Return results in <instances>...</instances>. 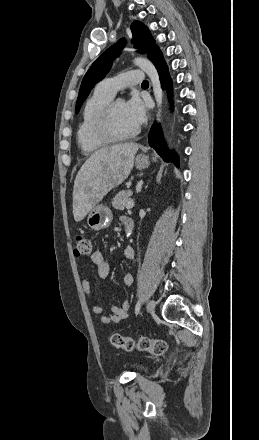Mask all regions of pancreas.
Here are the masks:
<instances>
[{
    "instance_id": "obj_1",
    "label": "pancreas",
    "mask_w": 259,
    "mask_h": 440,
    "mask_svg": "<svg viewBox=\"0 0 259 440\" xmlns=\"http://www.w3.org/2000/svg\"><path fill=\"white\" fill-rule=\"evenodd\" d=\"M131 194H132V191L129 189L120 191L118 194L115 195V197L112 201V206L116 210H123L126 207L127 202L129 200H131V199H129Z\"/></svg>"
}]
</instances>
